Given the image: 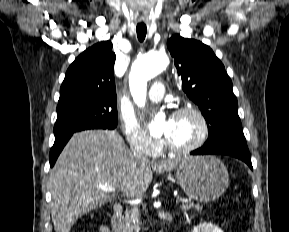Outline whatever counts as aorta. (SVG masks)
<instances>
[{
  "label": "aorta",
  "instance_id": "1",
  "mask_svg": "<svg viewBox=\"0 0 289 232\" xmlns=\"http://www.w3.org/2000/svg\"><path fill=\"white\" fill-rule=\"evenodd\" d=\"M169 64L167 55L163 52L147 53L137 58L129 75V86L135 103L143 107L147 95V81L160 74ZM151 134L161 132L160 117H155L149 124Z\"/></svg>",
  "mask_w": 289,
  "mask_h": 232
}]
</instances>
